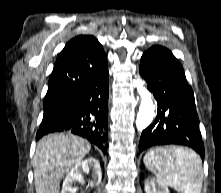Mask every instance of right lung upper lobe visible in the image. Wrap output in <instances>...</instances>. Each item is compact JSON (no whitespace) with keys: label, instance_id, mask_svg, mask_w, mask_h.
<instances>
[{"label":"right lung upper lobe","instance_id":"1","mask_svg":"<svg viewBox=\"0 0 221 193\" xmlns=\"http://www.w3.org/2000/svg\"><path fill=\"white\" fill-rule=\"evenodd\" d=\"M106 60L103 47L95 37L79 35L71 39L57 57L45 102L69 100Z\"/></svg>","mask_w":221,"mask_h":193}]
</instances>
